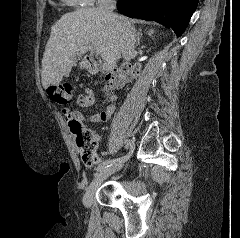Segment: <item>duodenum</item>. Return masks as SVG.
Segmentation results:
<instances>
[{
  "label": "duodenum",
  "instance_id": "410a0bca",
  "mask_svg": "<svg viewBox=\"0 0 240 238\" xmlns=\"http://www.w3.org/2000/svg\"><path fill=\"white\" fill-rule=\"evenodd\" d=\"M85 63H86V67L90 73L96 74L99 71V64L95 59L87 58ZM126 69H128V67Z\"/></svg>",
  "mask_w": 240,
  "mask_h": 238
}]
</instances>
